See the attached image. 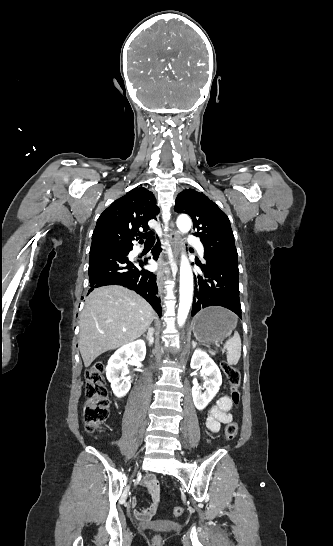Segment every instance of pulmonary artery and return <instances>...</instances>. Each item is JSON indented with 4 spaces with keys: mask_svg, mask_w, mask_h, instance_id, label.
I'll return each mask as SVG.
<instances>
[{
    "mask_svg": "<svg viewBox=\"0 0 333 546\" xmlns=\"http://www.w3.org/2000/svg\"><path fill=\"white\" fill-rule=\"evenodd\" d=\"M187 240H188L189 243L193 244L196 247L198 253L201 256H203L204 250H203V246H202L200 240L198 238L192 236V235H189ZM142 250L143 249L141 247H137V248H135L134 252L135 253H140Z\"/></svg>",
    "mask_w": 333,
    "mask_h": 546,
    "instance_id": "pulmonary-artery-1",
    "label": "pulmonary artery"
}]
</instances>
